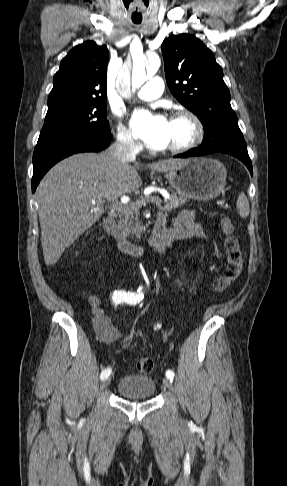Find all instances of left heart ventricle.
Returning <instances> with one entry per match:
<instances>
[{
    "label": "left heart ventricle",
    "instance_id": "left-heart-ventricle-1",
    "mask_svg": "<svg viewBox=\"0 0 287 486\" xmlns=\"http://www.w3.org/2000/svg\"><path fill=\"white\" fill-rule=\"evenodd\" d=\"M191 135L192 128L188 121L184 119H171L169 121V134L166 148L187 142Z\"/></svg>",
    "mask_w": 287,
    "mask_h": 486
}]
</instances>
